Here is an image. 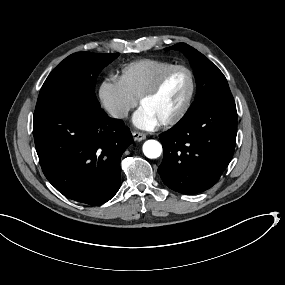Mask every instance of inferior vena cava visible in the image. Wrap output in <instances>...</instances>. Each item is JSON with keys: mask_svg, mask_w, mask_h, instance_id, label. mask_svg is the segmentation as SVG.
<instances>
[{"mask_svg": "<svg viewBox=\"0 0 285 285\" xmlns=\"http://www.w3.org/2000/svg\"><path fill=\"white\" fill-rule=\"evenodd\" d=\"M130 108L125 105L111 106L107 109L109 114L114 118H125L128 116Z\"/></svg>", "mask_w": 285, "mask_h": 285, "instance_id": "1", "label": "inferior vena cava"}]
</instances>
